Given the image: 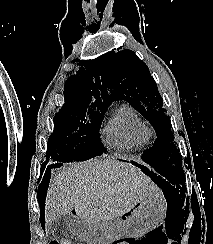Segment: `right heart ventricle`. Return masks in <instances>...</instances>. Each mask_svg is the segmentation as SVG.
<instances>
[{
    "label": "right heart ventricle",
    "instance_id": "obj_1",
    "mask_svg": "<svg viewBox=\"0 0 213 244\" xmlns=\"http://www.w3.org/2000/svg\"><path fill=\"white\" fill-rule=\"evenodd\" d=\"M149 128L133 106L122 102L103 124L101 134L105 144L112 149L141 150L151 140Z\"/></svg>",
    "mask_w": 213,
    "mask_h": 244
}]
</instances>
